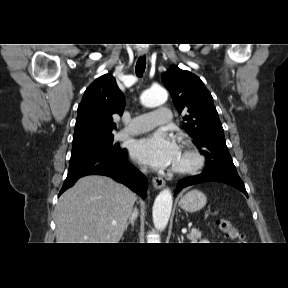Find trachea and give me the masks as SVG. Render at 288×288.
Instances as JSON below:
<instances>
[{"mask_svg":"<svg viewBox=\"0 0 288 288\" xmlns=\"http://www.w3.org/2000/svg\"><path fill=\"white\" fill-rule=\"evenodd\" d=\"M145 67H146V56H141L139 57V59L137 60L136 63V74L138 77H142L144 71H145Z\"/></svg>","mask_w":288,"mask_h":288,"instance_id":"1","label":"trachea"}]
</instances>
